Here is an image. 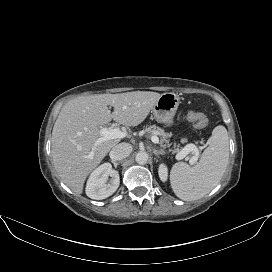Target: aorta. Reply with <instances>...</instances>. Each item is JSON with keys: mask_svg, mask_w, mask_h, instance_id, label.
I'll return each instance as SVG.
<instances>
[{"mask_svg": "<svg viewBox=\"0 0 272 272\" xmlns=\"http://www.w3.org/2000/svg\"><path fill=\"white\" fill-rule=\"evenodd\" d=\"M148 158H149V155L147 152L145 151H139L137 154H136V157H135V160L138 164H145L147 163L148 161Z\"/></svg>", "mask_w": 272, "mask_h": 272, "instance_id": "1", "label": "aorta"}]
</instances>
